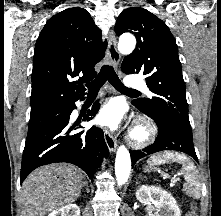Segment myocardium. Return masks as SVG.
Returning <instances> with one entry per match:
<instances>
[{"mask_svg": "<svg viewBox=\"0 0 221 216\" xmlns=\"http://www.w3.org/2000/svg\"><path fill=\"white\" fill-rule=\"evenodd\" d=\"M157 135L155 123L147 117L139 118L130 134V144L136 147H142L151 143Z\"/></svg>", "mask_w": 221, "mask_h": 216, "instance_id": "myocardium-1", "label": "myocardium"}]
</instances>
